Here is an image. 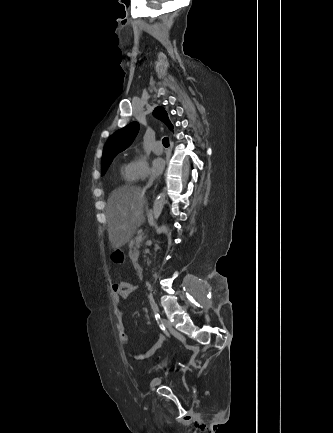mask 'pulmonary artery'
<instances>
[{"label": "pulmonary artery", "mask_w": 333, "mask_h": 433, "mask_svg": "<svg viewBox=\"0 0 333 433\" xmlns=\"http://www.w3.org/2000/svg\"><path fill=\"white\" fill-rule=\"evenodd\" d=\"M153 152L156 155H161L163 153V146L161 144V142H157L154 147H153Z\"/></svg>", "instance_id": "pulmonary-artery-1"}]
</instances>
